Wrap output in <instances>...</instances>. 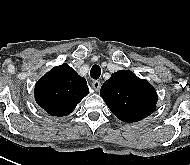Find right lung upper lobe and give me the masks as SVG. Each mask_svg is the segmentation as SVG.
<instances>
[{"instance_id":"right-lung-upper-lobe-1","label":"right lung upper lobe","mask_w":190,"mask_h":165,"mask_svg":"<svg viewBox=\"0 0 190 165\" xmlns=\"http://www.w3.org/2000/svg\"><path fill=\"white\" fill-rule=\"evenodd\" d=\"M88 93L86 80L66 63L54 67L35 85L37 104L58 117L70 114Z\"/></svg>"}]
</instances>
